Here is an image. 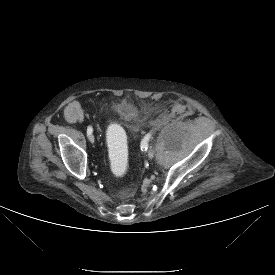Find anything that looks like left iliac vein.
Listing matches in <instances>:
<instances>
[{"instance_id": "1", "label": "left iliac vein", "mask_w": 275, "mask_h": 275, "mask_svg": "<svg viewBox=\"0 0 275 275\" xmlns=\"http://www.w3.org/2000/svg\"><path fill=\"white\" fill-rule=\"evenodd\" d=\"M154 156V150L153 149H150L149 151H148V157L149 158H152Z\"/></svg>"}]
</instances>
